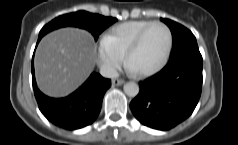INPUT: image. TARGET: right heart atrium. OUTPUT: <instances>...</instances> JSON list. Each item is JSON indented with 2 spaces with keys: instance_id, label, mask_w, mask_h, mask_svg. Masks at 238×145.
<instances>
[{
  "instance_id": "d8ad5b80",
  "label": "right heart atrium",
  "mask_w": 238,
  "mask_h": 145,
  "mask_svg": "<svg viewBox=\"0 0 238 145\" xmlns=\"http://www.w3.org/2000/svg\"><path fill=\"white\" fill-rule=\"evenodd\" d=\"M96 61L102 73L114 76L123 63V56L101 39L97 44Z\"/></svg>"
}]
</instances>
